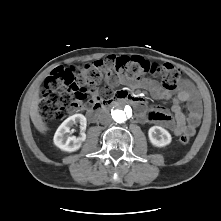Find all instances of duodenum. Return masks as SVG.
I'll return each mask as SVG.
<instances>
[{"mask_svg": "<svg viewBox=\"0 0 221 221\" xmlns=\"http://www.w3.org/2000/svg\"><path fill=\"white\" fill-rule=\"evenodd\" d=\"M117 102H126L132 106L141 109L143 107V101L139 98L134 97L133 95L129 94L128 92H118L112 98H105L99 99L95 101L92 106L87 110V117L91 121H96L98 115L106 111L108 108L115 105Z\"/></svg>", "mask_w": 221, "mask_h": 221, "instance_id": "410a0bca", "label": "duodenum"}]
</instances>
